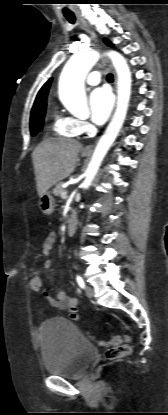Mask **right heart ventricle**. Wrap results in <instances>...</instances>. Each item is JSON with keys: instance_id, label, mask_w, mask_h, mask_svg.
<instances>
[{"instance_id": "e07e8e85", "label": "right heart ventricle", "mask_w": 168, "mask_h": 415, "mask_svg": "<svg viewBox=\"0 0 168 415\" xmlns=\"http://www.w3.org/2000/svg\"><path fill=\"white\" fill-rule=\"evenodd\" d=\"M52 130L55 135L67 138H75L80 134L78 120L59 111L54 114Z\"/></svg>"}]
</instances>
